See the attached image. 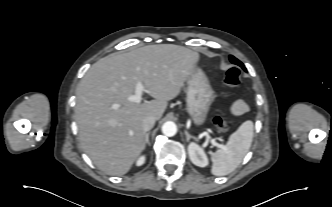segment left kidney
Wrapping results in <instances>:
<instances>
[{
  "label": "left kidney",
  "instance_id": "5707ae66",
  "mask_svg": "<svg viewBox=\"0 0 332 207\" xmlns=\"http://www.w3.org/2000/svg\"><path fill=\"white\" fill-rule=\"evenodd\" d=\"M188 154L191 162L196 166L206 167L209 163L204 150L194 142L188 145Z\"/></svg>",
  "mask_w": 332,
  "mask_h": 207
}]
</instances>
